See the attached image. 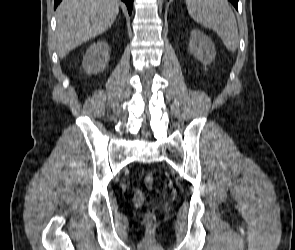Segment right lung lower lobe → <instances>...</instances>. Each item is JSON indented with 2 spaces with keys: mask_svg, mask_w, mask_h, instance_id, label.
Here are the masks:
<instances>
[{
  "mask_svg": "<svg viewBox=\"0 0 295 250\" xmlns=\"http://www.w3.org/2000/svg\"><path fill=\"white\" fill-rule=\"evenodd\" d=\"M123 2L126 3L128 12L131 14L132 8H133V0H122ZM61 2V0H55L54 2V9L57 7V5Z\"/></svg>",
  "mask_w": 295,
  "mask_h": 250,
  "instance_id": "98d812e1",
  "label": "right lung lower lobe"
}]
</instances>
